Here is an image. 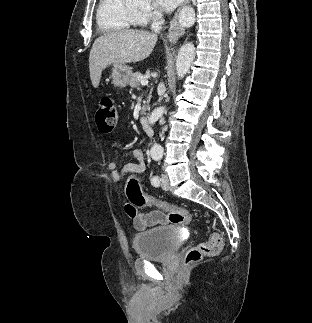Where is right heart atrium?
Instances as JSON below:
<instances>
[{
  "instance_id": "1",
  "label": "right heart atrium",
  "mask_w": 312,
  "mask_h": 323,
  "mask_svg": "<svg viewBox=\"0 0 312 323\" xmlns=\"http://www.w3.org/2000/svg\"><path fill=\"white\" fill-rule=\"evenodd\" d=\"M150 15L151 17H164L165 12L164 10H151Z\"/></svg>"
}]
</instances>
